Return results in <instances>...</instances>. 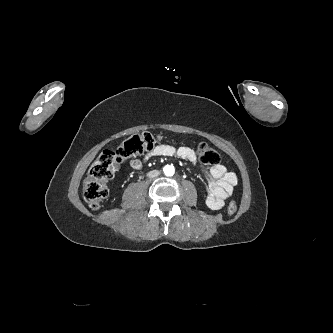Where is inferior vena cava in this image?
Instances as JSON below:
<instances>
[{
  "label": "inferior vena cava",
  "mask_w": 333,
  "mask_h": 333,
  "mask_svg": "<svg viewBox=\"0 0 333 333\" xmlns=\"http://www.w3.org/2000/svg\"><path fill=\"white\" fill-rule=\"evenodd\" d=\"M159 174H160V172L158 170H152L147 173V177L154 178V177H157Z\"/></svg>",
  "instance_id": "inferior-vena-cava-1"
}]
</instances>
